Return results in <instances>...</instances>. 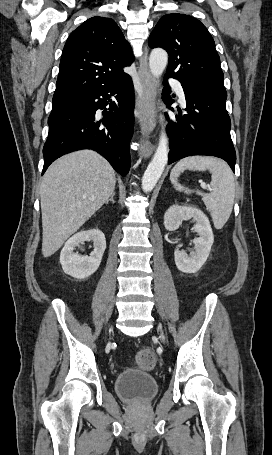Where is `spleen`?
I'll use <instances>...</instances> for the list:
<instances>
[{
	"label": "spleen",
	"mask_w": 272,
	"mask_h": 455,
	"mask_svg": "<svg viewBox=\"0 0 272 455\" xmlns=\"http://www.w3.org/2000/svg\"><path fill=\"white\" fill-rule=\"evenodd\" d=\"M209 170L211 176V193L196 191L202 196L206 208L209 210L214 226L221 229L230 217L235 197V182L230 167L222 160L206 157L191 156L180 160L170 173V180L178 191L190 194L193 192L178 183V177L184 170Z\"/></svg>",
	"instance_id": "1"
}]
</instances>
